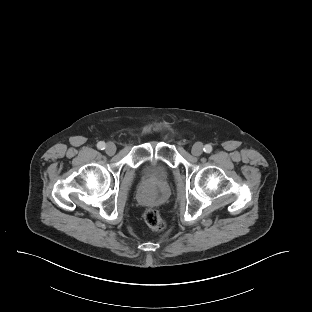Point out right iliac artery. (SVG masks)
I'll return each instance as SVG.
<instances>
[{
	"mask_svg": "<svg viewBox=\"0 0 312 312\" xmlns=\"http://www.w3.org/2000/svg\"><path fill=\"white\" fill-rule=\"evenodd\" d=\"M97 147H98V149H100V150H104L105 147H106V144H105V142L100 141V142L97 144Z\"/></svg>",
	"mask_w": 312,
	"mask_h": 312,
	"instance_id": "right-iliac-artery-1",
	"label": "right iliac artery"
}]
</instances>
